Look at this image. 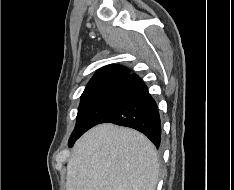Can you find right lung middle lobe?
Wrapping results in <instances>:
<instances>
[{
  "label": "right lung middle lobe",
  "mask_w": 234,
  "mask_h": 190,
  "mask_svg": "<svg viewBox=\"0 0 234 190\" xmlns=\"http://www.w3.org/2000/svg\"><path fill=\"white\" fill-rule=\"evenodd\" d=\"M126 80H117L85 89L81 95L75 129L69 140L99 124L118 99Z\"/></svg>",
  "instance_id": "right-lung-middle-lobe-1"
}]
</instances>
